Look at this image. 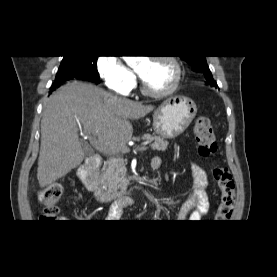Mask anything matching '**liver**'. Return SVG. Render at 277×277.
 <instances>
[{
	"label": "liver",
	"mask_w": 277,
	"mask_h": 277,
	"mask_svg": "<svg viewBox=\"0 0 277 277\" xmlns=\"http://www.w3.org/2000/svg\"><path fill=\"white\" fill-rule=\"evenodd\" d=\"M153 109L89 83L74 81L60 87L47 99L42 113L37 169L40 187L54 183L82 163L79 126L110 151H125L133 134L130 120L145 117Z\"/></svg>",
	"instance_id": "obj_1"
}]
</instances>
